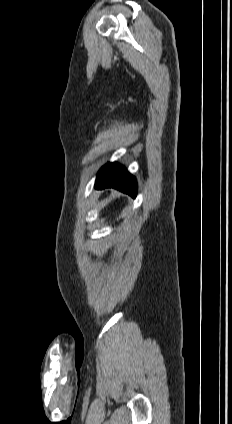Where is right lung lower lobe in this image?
<instances>
[{"mask_svg":"<svg viewBox=\"0 0 232 424\" xmlns=\"http://www.w3.org/2000/svg\"><path fill=\"white\" fill-rule=\"evenodd\" d=\"M95 187L100 189L113 187L134 198L137 194L135 178L117 163H108L99 171Z\"/></svg>","mask_w":232,"mask_h":424,"instance_id":"98d812e1","label":"right lung lower lobe"}]
</instances>
